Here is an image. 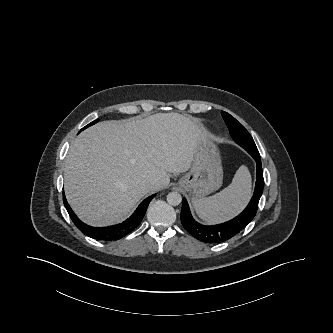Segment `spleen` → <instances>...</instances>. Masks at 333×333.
<instances>
[{
	"instance_id": "1",
	"label": "spleen",
	"mask_w": 333,
	"mask_h": 333,
	"mask_svg": "<svg viewBox=\"0 0 333 333\" xmlns=\"http://www.w3.org/2000/svg\"><path fill=\"white\" fill-rule=\"evenodd\" d=\"M251 196V175L246 166L239 167L232 183L221 192L201 199H193L197 215L208 223L229 220L241 212Z\"/></svg>"
}]
</instances>
